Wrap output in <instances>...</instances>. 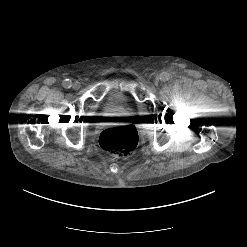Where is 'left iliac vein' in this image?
Here are the masks:
<instances>
[{
    "mask_svg": "<svg viewBox=\"0 0 247 247\" xmlns=\"http://www.w3.org/2000/svg\"><path fill=\"white\" fill-rule=\"evenodd\" d=\"M154 84H155V85H158V84H159V78H155V79H154Z\"/></svg>",
    "mask_w": 247,
    "mask_h": 247,
    "instance_id": "obj_1",
    "label": "left iliac vein"
}]
</instances>
